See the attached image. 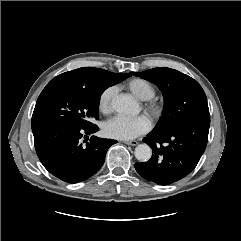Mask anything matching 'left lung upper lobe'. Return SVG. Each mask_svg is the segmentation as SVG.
<instances>
[{
	"label": "left lung upper lobe",
	"instance_id": "left-lung-upper-lobe-1",
	"mask_svg": "<svg viewBox=\"0 0 241 241\" xmlns=\"http://www.w3.org/2000/svg\"><path fill=\"white\" fill-rule=\"evenodd\" d=\"M131 74L155 83L163 93L164 110L153 130L168 132L193 121L210 119L206 95L190 76L166 67Z\"/></svg>",
	"mask_w": 241,
	"mask_h": 241
}]
</instances>
